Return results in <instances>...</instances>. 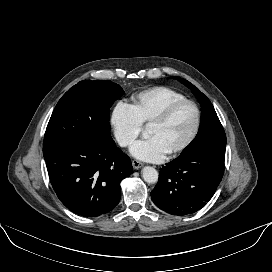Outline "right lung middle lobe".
Segmentation results:
<instances>
[{"mask_svg":"<svg viewBox=\"0 0 272 272\" xmlns=\"http://www.w3.org/2000/svg\"><path fill=\"white\" fill-rule=\"evenodd\" d=\"M124 94L109 80H83L71 87L57 103L44 136L43 152L72 138L112 140L110 107Z\"/></svg>","mask_w":272,"mask_h":272,"instance_id":"right-lung-middle-lobe-1","label":"right lung middle lobe"}]
</instances>
